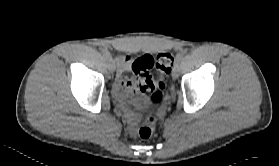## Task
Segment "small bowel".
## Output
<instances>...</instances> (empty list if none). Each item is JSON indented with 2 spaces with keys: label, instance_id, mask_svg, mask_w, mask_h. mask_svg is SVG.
<instances>
[{
  "label": "small bowel",
  "instance_id": "c3829d8e",
  "mask_svg": "<svg viewBox=\"0 0 279 166\" xmlns=\"http://www.w3.org/2000/svg\"><path fill=\"white\" fill-rule=\"evenodd\" d=\"M117 64V75L113 83V92L117 96H124L137 91L135 82L125 76L131 71L133 59L127 55H119L115 58Z\"/></svg>",
  "mask_w": 279,
  "mask_h": 166
}]
</instances>
